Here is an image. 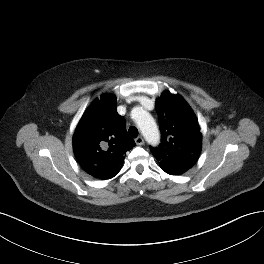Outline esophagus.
Segmentation results:
<instances>
[{
  "mask_svg": "<svg viewBox=\"0 0 264 264\" xmlns=\"http://www.w3.org/2000/svg\"><path fill=\"white\" fill-rule=\"evenodd\" d=\"M135 143H136L137 145H143V144H144V139H143L141 136H139V137H137V138L135 139Z\"/></svg>",
  "mask_w": 264,
  "mask_h": 264,
  "instance_id": "obj_1",
  "label": "esophagus"
}]
</instances>
